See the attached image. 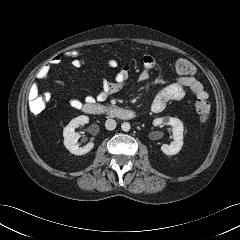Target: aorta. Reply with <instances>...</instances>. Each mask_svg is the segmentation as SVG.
<instances>
[{
	"label": "aorta",
	"mask_w": 240,
	"mask_h": 240,
	"mask_svg": "<svg viewBox=\"0 0 240 240\" xmlns=\"http://www.w3.org/2000/svg\"><path fill=\"white\" fill-rule=\"evenodd\" d=\"M130 128H131V125L128 122H123L121 124V129L125 132H128L130 130Z\"/></svg>",
	"instance_id": "1"
}]
</instances>
